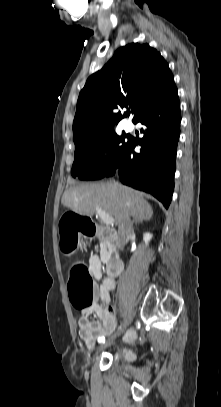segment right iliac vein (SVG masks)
I'll list each match as a JSON object with an SVG mask.
<instances>
[{"label":"right iliac vein","mask_w":221,"mask_h":407,"mask_svg":"<svg viewBox=\"0 0 221 407\" xmlns=\"http://www.w3.org/2000/svg\"><path fill=\"white\" fill-rule=\"evenodd\" d=\"M133 316H134V312L132 310H130L126 314L125 319H124V323H123L122 331H124L129 326ZM113 340H114V336L110 337L106 343L101 345V348L104 347V346H109L113 342Z\"/></svg>","instance_id":"63e3f726"}]
</instances>
